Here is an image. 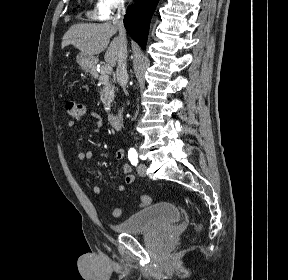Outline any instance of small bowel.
<instances>
[{
    "mask_svg": "<svg viewBox=\"0 0 288 280\" xmlns=\"http://www.w3.org/2000/svg\"><path fill=\"white\" fill-rule=\"evenodd\" d=\"M88 118L89 120L93 123L94 125V130L95 131H99V129L101 128L102 126V120H101V117L96 113V112H93V111H90L88 112ZM75 125L74 121H69L68 122V127H73ZM113 157L122 162V165H121V170H122V173H123V176H124V181L127 185H132L135 181V177L134 175L132 174V168L130 166L129 163L126 162V153L123 149L121 148H118V149H115L112 153ZM77 157L79 160H82V161H87V160H90L92 158V152L91 151H81L77 154ZM88 182H90L89 179H87ZM116 191L118 193H122L125 191V185L124 184H118L116 186ZM92 192L94 195H100L101 192H102V189L100 186L98 185H94L92 187Z\"/></svg>",
    "mask_w": 288,
    "mask_h": 280,
    "instance_id": "small-bowel-1",
    "label": "small bowel"
}]
</instances>
